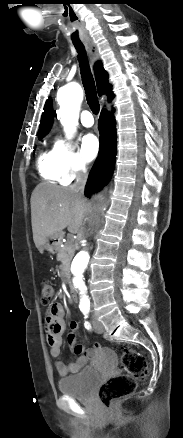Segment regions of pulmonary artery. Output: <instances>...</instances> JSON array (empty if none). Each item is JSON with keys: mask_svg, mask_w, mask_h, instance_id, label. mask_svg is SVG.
<instances>
[{"mask_svg": "<svg viewBox=\"0 0 183 438\" xmlns=\"http://www.w3.org/2000/svg\"><path fill=\"white\" fill-rule=\"evenodd\" d=\"M81 123L85 127H91L94 124L93 114L89 110H84L81 113Z\"/></svg>", "mask_w": 183, "mask_h": 438, "instance_id": "obj_1", "label": "pulmonary artery"}]
</instances>
